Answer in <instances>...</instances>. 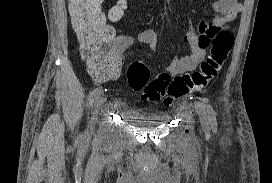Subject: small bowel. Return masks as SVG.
Returning <instances> with one entry per match:
<instances>
[{"label": "small bowel", "instance_id": "1", "mask_svg": "<svg viewBox=\"0 0 272 183\" xmlns=\"http://www.w3.org/2000/svg\"><path fill=\"white\" fill-rule=\"evenodd\" d=\"M244 4L239 0H217L213 3V10L216 16L210 22H201L198 29L189 26L184 40L189 45L191 53L180 59L172 60L167 71L171 76H177L185 72L193 71L205 58L206 48L209 39L213 34H219V29L227 28L236 16L243 10ZM113 35L111 44L119 56V64L112 68L108 75L103 78H96L97 81H107L114 79L121 67V54L135 44H146L151 50H155L158 45L157 33L151 29H145L137 34L116 35L113 27L109 26Z\"/></svg>", "mask_w": 272, "mask_h": 183}]
</instances>
